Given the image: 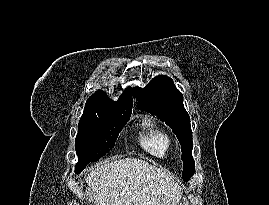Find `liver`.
Wrapping results in <instances>:
<instances>
[{
  "mask_svg": "<svg viewBox=\"0 0 269 205\" xmlns=\"http://www.w3.org/2000/svg\"><path fill=\"white\" fill-rule=\"evenodd\" d=\"M86 183L97 205H178L182 197L169 174L137 158L98 165Z\"/></svg>",
  "mask_w": 269,
  "mask_h": 205,
  "instance_id": "obj_1",
  "label": "liver"
}]
</instances>
